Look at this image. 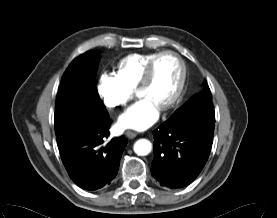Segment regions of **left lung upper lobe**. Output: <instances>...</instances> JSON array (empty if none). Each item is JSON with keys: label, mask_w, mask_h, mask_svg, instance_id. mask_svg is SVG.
<instances>
[{"label": "left lung upper lobe", "mask_w": 277, "mask_h": 218, "mask_svg": "<svg viewBox=\"0 0 277 218\" xmlns=\"http://www.w3.org/2000/svg\"><path fill=\"white\" fill-rule=\"evenodd\" d=\"M214 114V105L210 88L207 84L203 86L201 93L194 95L181 108L169 118L170 120H187L193 115Z\"/></svg>", "instance_id": "1"}]
</instances>
